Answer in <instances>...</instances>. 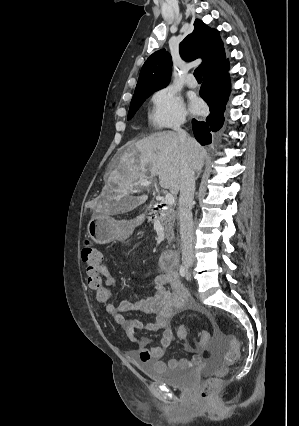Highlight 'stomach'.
I'll list each match as a JSON object with an SVG mask.
<instances>
[{
    "label": "stomach",
    "instance_id": "0dacf381",
    "mask_svg": "<svg viewBox=\"0 0 299 426\" xmlns=\"http://www.w3.org/2000/svg\"><path fill=\"white\" fill-rule=\"evenodd\" d=\"M132 229L133 226L128 221L117 220L105 213L94 214L87 225L89 237L99 244L125 240Z\"/></svg>",
    "mask_w": 299,
    "mask_h": 426
}]
</instances>
